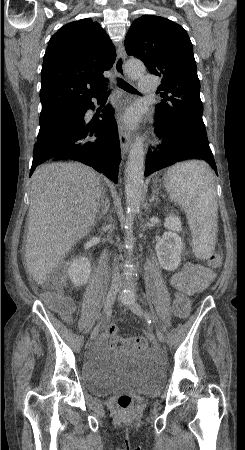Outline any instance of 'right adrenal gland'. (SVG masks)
Wrapping results in <instances>:
<instances>
[{
    "mask_svg": "<svg viewBox=\"0 0 245 450\" xmlns=\"http://www.w3.org/2000/svg\"><path fill=\"white\" fill-rule=\"evenodd\" d=\"M100 204L102 205V209H101V213L98 216V220H101L104 217V215L107 214V212L109 210V200L105 196V191L104 190L102 192V199H101Z\"/></svg>",
    "mask_w": 245,
    "mask_h": 450,
    "instance_id": "right-adrenal-gland-1",
    "label": "right adrenal gland"
}]
</instances>
